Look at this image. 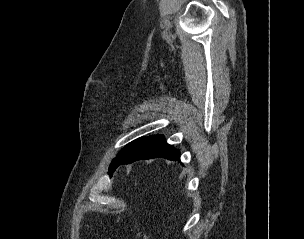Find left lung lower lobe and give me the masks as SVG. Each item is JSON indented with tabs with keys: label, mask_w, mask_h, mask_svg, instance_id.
Segmentation results:
<instances>
[{
	"label": "left lung lower lobe",
	"mask_w": 304,
	"mask_h": 239,
	"mask_svg": "<svg viewBox=\"0 0 304 239\" xmlns=\"http://www.w3.org/2000/svg\"><path fill=\"white\" fill-rule=\"evenodd\" d=\"M158 157L169 160H179L180 152L167 144L163 135L150 136L140 141L123 158H121L117 167L137 160Z\"/></svg>",
	"instance_id": "left-lung-lower-lobe-1"
}]
</instances>
